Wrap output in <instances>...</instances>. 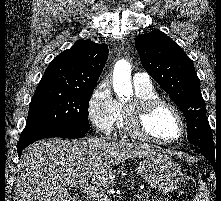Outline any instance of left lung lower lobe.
Segmentation results:
<instances>
[{"label":"left lung lower lobe","instance_id":"obj_1","mask_svg":"<svg viewBox=\"0 0 221 201\" xmlns=\"http://www.w3.org/2000/svg\"><path fill=\"white\" fill-rule=\"evenodd\" d=\"M195 152L197 153H202L205 155V157L211 162V164L213 165V167L215 168L216 166V162H215V151H207L205 149L202 148H196Z\"/></svg>","mask_w":221,"mask_h":201}]
</instances>
